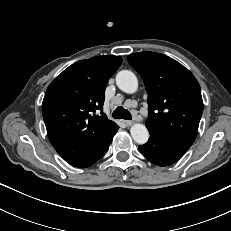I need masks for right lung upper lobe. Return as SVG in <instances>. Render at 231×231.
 Instances as JSON below:
<instances>
[{
	"label": "right lung upper lobe",
	"mask_w": 231,
	"mask_h": 231,
	"mask_svg": "<svg viewBox=\"0 0 231 231\" xmlns=\"http://www.w3.org/2000/svg\"><path fill=\"white\" fill-rule=\"evenodd\" d=\"M122 63L120 56L78 61L48 86L42 115L52 146L69 164L88 167L112 141L118 126L103 110L109 78Z\"/></svg>",
	"instance_id": "right-lung-upper-lobe-1"
}]
</instances>
